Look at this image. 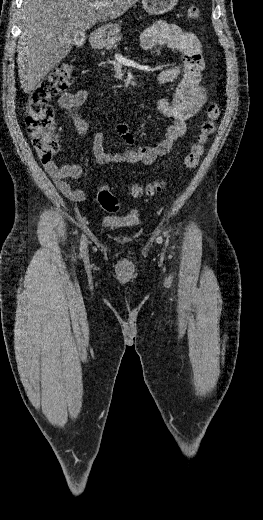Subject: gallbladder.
<instances>
[{"instance_id": "gallbladder-1", "label": "gallbladder", "mask_w": 263, "mask_h": 520, "mask_svg": "<svg viewBox=\"0 0 263 520\" xmlns=\"http://www.w3.org/2000/svg\"><path fill=\"white\" fill-rule=\"evenodd\" d=\"M78 32H79V30L75 27L70 31V37L74 40V42L78 36ZM75 45H78V44H75Z\"/></svg>"}]
</instances>
